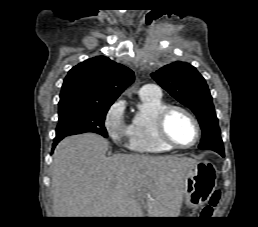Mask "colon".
<instances>
[{
  "instance_id": "5ec220e1",
  "label": "colon",
  "mask_w": 258,
  "mask_h": 227,
  "mask_svg": "<svg viewBox=\"0 0 258 227\" xmlns=\"http://www.w3.org/2000/svg\"><path fill=\"white\" fill-rule=\"evenodd\" d=\"M220 198L221 192L218 190L214 191L209 198L207 207L203 210V214L210 215L212 213V209L218 204Z\"/></svg>"
}]
</instances>
